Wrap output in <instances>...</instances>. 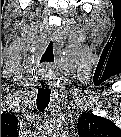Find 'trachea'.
<instances>
[{
  "instance_id": "obj_1",
  "label": "trachea",
  "mask_w": 121,
  "mask_h": 137,
  "mask_svg": "<svg viewBox=\"0 0 121 137\" xmlns=\"http://www.w3.org/2000/svg\"><path fill=\"white\" fill-rule=\"evenodd\" d=\"M43 60L49 64L54 60V43L52 40H50L48 43V46L43 55ZM47 79H48V73L44 72L42 87L39 88L37 95V108L41 112L44 111V109L48 106L50 101L51 91L46 86Z\"/></svg>"
}]
</instances>
